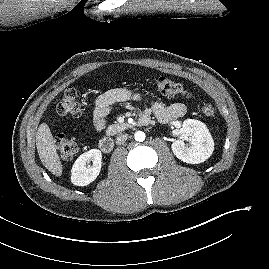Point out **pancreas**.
<instances>
[{"label":"pancreas","mask_w":269,"mask_h":269,"mask_svg":"<svg viewBox=\"0 0 269 269\" xmlns=\"http://www.w3.org/2000/svg\"><path fill=\"white\" fill-rule=\"evenodd\" d=\"M128 127H129V125L126 123H123V124L116 123V124L108 126V128L106 130V134L109 136L110 135L113 136L115 134L122 132L123 130L127 129Z\"/></svg>","instance_id":"obj_1"}]
</instances>
